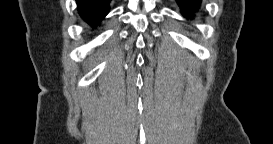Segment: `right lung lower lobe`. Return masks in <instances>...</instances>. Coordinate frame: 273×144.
<instances>
[{
    "mask_svg": "<svg viewBox=\"0 0 273 144\" xmlns=\"http://www.w3.org/2000/svg\"><path fill=\"white\" fill-rule=\"evenodd\" d=\"M110 0H77L81 17L91 26L100 24L109 12Z\"/></svg>",
    "mask_w": 273,
    "mask_h": 144,
    "instance_id": "1",
    "label": "right lung lower lobe"
}]
</instances>
